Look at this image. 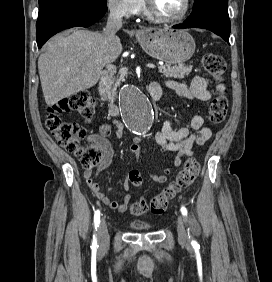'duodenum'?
<instances>
[{"label":"duodenum","mask_w":272,"mask_h":282,"mask_svg":"<svg viewBox=\"0 0 272 282\" xmlns=\"http://www.w3.org/2000/svg\"><path fill=\"white\" fill-rule=\"evenodd\" d=\"M112 77L113 69H106L103 71L99 81L98 94L100 100L106 104L109 115L118 117L120 115L119 107L116 102L110 98L108 92V86L112 80ZM148 93L154 102L159 101L162 96L161 86L156 81H151L148 84Z\"/></svg>","instance_id":"410a0bca"}]
</instances>
